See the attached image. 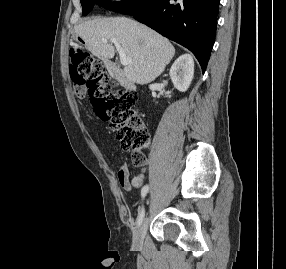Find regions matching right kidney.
I'll return each instance as SVG.
<instances>
[{"mask_svg": "<svg viewBox=\"0 0 286 269\" xmlns=\"http://www.w3.org/2000/svg\"><path fill=\"white\" fill-rule=\"evenodd\" d=\"M170 77L174 87L185 92L189 88L194 75V61L191 55H181L170 68Z\"/></svg>", "mask_w": 286, "mask_h": 269, "instance_id": "obj_1", "label": "right kidney"}]
</instances>
